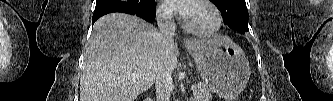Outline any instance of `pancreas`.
<instances>
[{"mask_svg":"<svg viewBox=\"0 0 333 101\" xmlns=\"http://www.w3.org/2000/svg\"><path fill=\"white\" fill-rule=\"evenodd\" d=\"M195 101H211L212 95L206 84H200L193 92Z\"/></svg>","mask_w":333,"mask_h":101,"instance_id":"cf45deb5","label":"pancreas"}]
</instances>
